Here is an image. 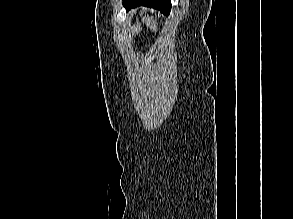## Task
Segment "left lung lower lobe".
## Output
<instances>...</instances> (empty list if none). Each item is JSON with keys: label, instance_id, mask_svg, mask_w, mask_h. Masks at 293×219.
<instances>
[{"label": "left lung lower lobe", "instance_id": "obj_1", "mask_svg": "<svg viewBox=\"0 0 293 219\" xmlns=\"http://www.w3.org/2000/svg\"><path fill=\"white\" fill-rule=\"evenodd\" d=\"M140 5L155 8L165 15H169L171 10L170 0H123V6L126 10Z\"/></svg>", "mask_w": 293, "mask_h": 219}]
</instances>
